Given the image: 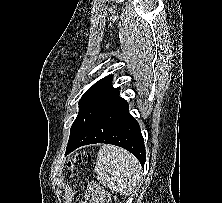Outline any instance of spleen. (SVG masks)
<instances>
[{
  "label": "spleen",
  "instance_id": "1",
  "mask_svg": "<svg viewBox=\"0 0 222 203\" xmlns=\"http://www.w3.org/2000/svg\"><path fill=\"white\" fill-rule=\"evenodd\" d=\"M95 172L100 183L121 194H131L142 180L135 156L113 145H103L99 150Z\"/></svg>",
  "mask_w": 222,
  "mask_h": 203
}]
</instances>
